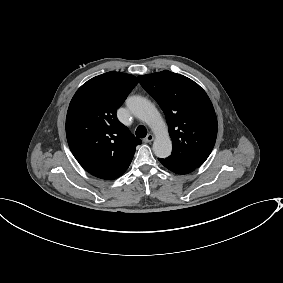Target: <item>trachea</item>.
Here are the masks:
<instances>
[{"label":"trachea","instance_id":"1","mask_svg":"<svg viewBox=\"0 0 283 283\" xmlns=\"http://www.w3.org/2000/svg\"><path fill=\"white\" fill-rule=\"evenodd\" d=\"M135 134L138 138H144L147 135V130L143 125L137 127Z\"/></svg>","mask_w":283,"mask_h":283}]
</instances>
